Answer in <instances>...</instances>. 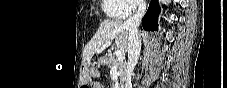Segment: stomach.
Wrapping results in <instances>:
<instances>
[{"instance_id":"1","label":"stomach","mask_w":227,"mask_h":88,"mask_svg":"<svg viewBox=\"0 0 227 88\" xmlns=\"http://www.w3.org/2000/svg\"><path fill=\"white\" fill-rule=\"evenodd\" d=\"M99 63L100 64H103L104 63V60L103 59H100ZM91 73H94L93 68H91Z\"/></svg>"}]
</instances>
